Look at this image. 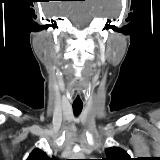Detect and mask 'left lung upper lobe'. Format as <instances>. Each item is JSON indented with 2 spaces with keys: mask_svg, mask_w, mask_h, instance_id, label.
Returning <instances> with one entry per match:
<instances>
[{
  "mask_svg": "<svg viewBox=\"0 0 160 160\" xmlns=\"http://www.w3.org/2000/svg\"><path fill=\"white\" fill-rule=\"evenodd\" d=\"M107 158H102V160H131L128 153L118 147H110L106 149Z\"/></svg>",
  "mask_w": 160,
  "mask_h": 160,
  "instance_id": "left-lung-upper-lobe-1",
  "label": "left lung upper lobe"
}]
</instances>
